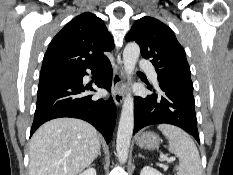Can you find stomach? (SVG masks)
Listing matches in <instances>:
<instances>
[{"label": "stomach", "instance_id": "0dacf381", "mask_svg": "<svg viewBox=\"0 0 233 175\" xmlns=\"http://www.w3.org/2000/svg\"><path fill=\"white\" fill-rule=\"evenodd\" d=\"M159 141V137L153 132H142L137 137V145L149 150L158 147Z\"/></svg>", "mask_w": 233, "mask_h": 175}]
</instances>
